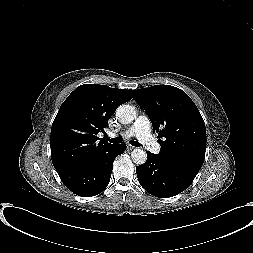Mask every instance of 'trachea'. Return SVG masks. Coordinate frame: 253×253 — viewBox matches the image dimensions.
<instances>
[{"instance_id":"1","label":"trachea","mask_w":253,"mask_h":253,"mask_svg":"<svg viewBox=\"0 0 253 253\" xmlns=\"http://www.w3.org/2000/svg\"><path fill=\"white\" fill-rule=\"evenodd\" d=\"M109 142L113 143V144H119L122 142V138L120 137H116V138H106ZM132 146H135V147H139L141 144L138 142V141H130L129 142Z\"/></svg>"}]
</instances>
